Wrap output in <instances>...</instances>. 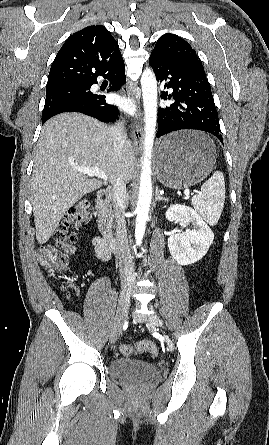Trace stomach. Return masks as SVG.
Listing matches in <instances>:
<instances>
[{
	"instance_id": "1",
	"label": "stomach",
	"mask_w": 269,
	"mask_h": 445,
	"mask_svg": "<svg viewBox=\"0 0 269 445\" xmlns=\"http://www.w3.org/2000/svg\"><path fill=\"white\" fill-rule=\"evenodd\" d=\"M216 148L198 131H178L166 136L158 149L157 179L164 186L181 190L203 180L214 168Z\"/></svg>"
}]
</instances>
